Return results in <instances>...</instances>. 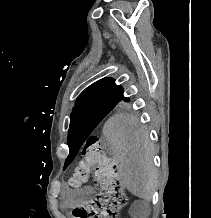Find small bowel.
Returning <instances> with one entry per match:
<instances>
[{"label": "small bowel", "instance_id": "obj_1", "mask_svg": "<svg viewBox=\"0 0 211 218\" xmlns=\"http://www.w3.org/2000/svg\"><path fill=\"white\" fill-rule=\"evenodd\" d=\"M94 191L90 187L73 189L65 186L62 190V198L67 207L75 208L86 204L92 197Z\"/></svg>", "mask_w": 211, "mask_h": 218}]
</instances>
